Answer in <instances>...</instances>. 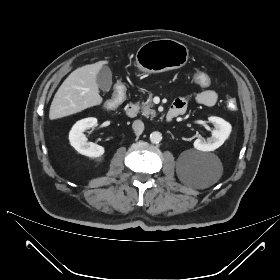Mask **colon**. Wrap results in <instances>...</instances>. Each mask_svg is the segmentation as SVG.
Listing matches in <instances>:
<instances>
[{
	"instance_id": "5ec220e1",
	"label": "colon",
	"mask_w": 280,
	"mask_h": 280,
	"mask_svg": "<svg viewBox=\"0 0 280 280\" xmlns=\"http://www.w3.org/2000/svg\"><path fill=\"white\" fill-rule=\"evenodd\" d=\"M192 83L200 91H205L210 86V80L208 74L203 70H198L194 72L191 76ZM126 86L122 82H117L113 86L112 96H108L104 100V105L108 109H113L117 104H122L126 100ZM227 107L230 110H236L237 102L235 98H229L227 100Z\"/></svg>"
}]
</instances>
